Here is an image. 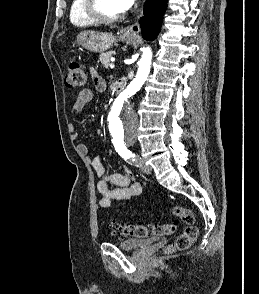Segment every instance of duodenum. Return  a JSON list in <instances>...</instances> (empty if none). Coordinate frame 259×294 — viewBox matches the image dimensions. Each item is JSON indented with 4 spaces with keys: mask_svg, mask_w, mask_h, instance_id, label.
Masks as SVG:
<instances>
[{
    "mask_svg": "<svg viewBox=\"0 0 259 294\" xmlns=\"http://www.w3.org/2000/svg\"><path fill=\"white\" fill-rule=\"evenodd\" d=\"M126 86V80L124 78L118 79L114 86H113V92L116 96L120 95L121 92L124 90Z\"/></svg>",
    "mask_w": 259,
    "mask_h": 294,
    "instance_id": "duodenum-1",
    "label": "duodenum"
}]
</instances>
